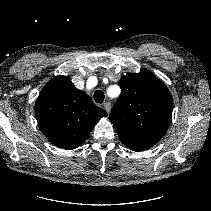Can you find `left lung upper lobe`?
I'll use <instances>...</instances> for the list:
<instances>
[{
  "label": "left lung upper lobe",
  "mask_w": 211,
  "mask_h": 211,
  "mask_svg": "<svg viewBox=\"0 0 211 211\" xmlns=\"http://www.w3.org/2000/svg\"><path fill=\"white\" fill-rule=\"evenodd\" d=\"M118 84L121 95L109 119L127 147L134 151L148 149L169 127L172 96L166 85L146 70L123 76Z\"/></svg>",
  "instance_id": "5c2ea615"
}]
</instances>
